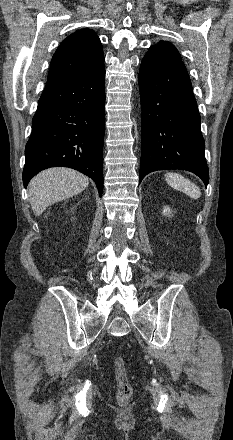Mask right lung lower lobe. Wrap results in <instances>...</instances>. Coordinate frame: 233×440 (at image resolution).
<instances>
[{"label": "right lung lower lobe", "instance_id": "obj_1", "mask_svg": "<svg viewBox=\"0 0 233 440\" xmlns=\"http://www.w3.org/2000/svg\"><path fill=\"white\" fill-rule=\"evenodd\" d=\"M105 67L73 82L46 86L25 147L23 184L43 169L65 166L92 178L102 195Z\"/></svg>", "mask_w": 233, "mask_h": 440}]
</instances>
